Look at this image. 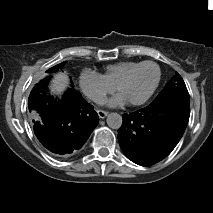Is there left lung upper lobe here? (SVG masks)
<instances>
[{
    "instance_id": "5c2ea615",
    "label": "left lung upper lobe",
    "mask_w": 213,
    "mask_h": 213,
    "mask_svg": "<svg viewBox=\"0 0 213 213\" xmlns=\"http://www.w3.org/2000/svg\"><path fill=\"white\" fill-rule=\"evenodd\" d=\"M168 93H179L183 95H189L186 85L180 76L179 73L176 72V75L170 80L163 90L159 93L156 98H160Z\"/></svg>"
}]
</instances>
